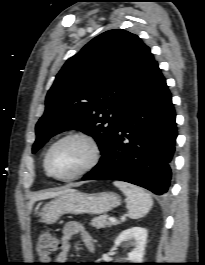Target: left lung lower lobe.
<instances>
[{
  "mask_svg": "<svg viewBox=\"0 0 205 265\" xmlns=\"http://www.w3.org/2000/svg\"><path fill=\"white\" fill-rule=\"evenodd\" d=\"M158 64L122 111L99 163L82 180H121L157 195L170 187L177 128Z\"/></svg>",
  "mask_w": 205,
  "mask_h": 265,
  "instance_id": "1",
  "label": "left lung lower lobe"
}]
</instances>
